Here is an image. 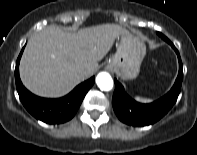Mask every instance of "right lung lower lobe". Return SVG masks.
<instances>
[{
    "instance_id": "obj_1",
    "label": "right lung lower lobe",
    "mask_w": 197,
    "mask_h": 155,
    "mask_svg": "<svg viewBox=\"0 0 197 155\" xmlns=\"http://www.w3.org/2000/svg\"><path fill=\"white\" fill-rule=\"evenodd\" d=\"M22 52L23 49L16 62L15 81L19 98L24 107L36 119L48 124H59L70 120L77 112L88 90L93 86L95 77L79 84L64 97L57 99L38 97L29 92L20 80L19 62Z\"/></svg>"
}]
</instances>
